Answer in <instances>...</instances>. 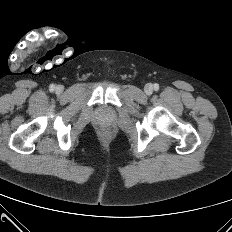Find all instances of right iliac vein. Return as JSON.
Segmentation results:
<instances>
[{
	"mask_svg": "<svg viewBox=\"0 0 232 232\" xmlns=\"http://www.w3.org/2000/svg\"><path fill=\"white\" fill-rule=\"evenodd\" d=\"M55 91H56L57 93H62L63 87L59 85V86H57V87L55 88Z\"/></svg>",
	"mask_w": 232,
	"mask_h": 232,
	"instance_id": "63e3f726",
	"label": "right iliac vein"
}]
</instances>
